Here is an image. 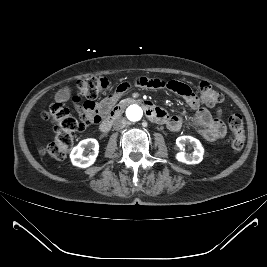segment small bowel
Returning <instances> with one entry per match:
<instances>
[{
    "mask_svg": "<svg viewBox=\"0 0 267 267\" xmlns=\"http://www.w3.org/2000/svg\"><path fill=\"white\" fill-rule=\"evenodd\" d=\"M133 86H141L149 89H164L179 95L195 111L190 122L197 128L199 134L204 139L210 142H216L225 136V124L219 118L213 117L208 109L201 106L199 97L189 85L175 80L139 77L134 81H125L99 103L85 102L79 104V100L71 95L69 88L61 89L57 93L56 98L61 102L72 100L76 103L77 110L82 117L90 119L91 122H98L100 117L105 115L114 106L120 96ZM160 111L164 117L163 123L170 130L178 131L181 129L184 124V119L181 116H169L164 110L160 109Z\"/></svg>",
    "mask_w": 267,
    "mask_h": 267,
    "instance_id": "obj_1",
    "label": "small bowel"
}]
</instances>
